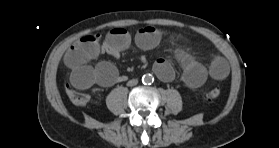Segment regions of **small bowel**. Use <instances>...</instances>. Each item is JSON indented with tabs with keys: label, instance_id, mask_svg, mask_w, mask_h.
<instances>
[{
	"label": "small bowel",
	"instance_id": "c3829d8e",
	"mask_svg": "<svg viewBox=\"0 0 279 148\" xmlns=\"http://www.w3.org/2000/svg\"><path fill=\"white\" fill-rule=\"evenodd\" d=\"M161 38L158 29L145 26L136 33L135 42L141 49L149 50L155 48ZM130 44V33L120 27L112 29L105 37L94 34L76 41L64 56V62L71 70V84L78 89H88L93 85L108 88L116 84L120 76L111 62L102 61L95 67L89 65V62L103 53L116 57ZM173 55L181 66L184 82L191 88L200 87L208 76L223 80L229 73V66L221 56H214L208 67H205L182 49L173 50ZM154 71L164 81H170L174 76L170 62L164 58L155 62Z\"/></svg>",
	"mask_w": 279,
	"mask_h": 148
}]
</instances>
